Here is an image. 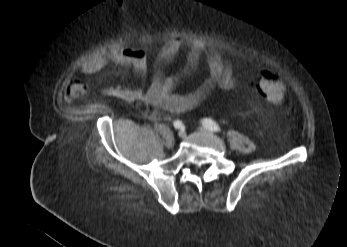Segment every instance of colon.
<instances>
[{"instance_id":"1","label":"colon","mask_w":347,"mask_h":247,"mask_svg":"<svg viewBox=\"0 0 347 247\" xmlns=\"http://www.w3.org/2000/svg\"><path fill=\"white\" fill-rule=\"evenodd\" d=\"M258 91L271 105H280L287 98V87L272 69H263L257 74Z\"/></svg>"}]
</instances>
